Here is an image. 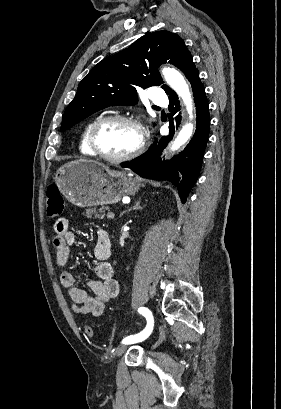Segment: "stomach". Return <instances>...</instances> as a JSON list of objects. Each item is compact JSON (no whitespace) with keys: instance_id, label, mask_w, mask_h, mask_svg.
<instances>
[{"instance_id":"0dacf381","label":"stomach","mask_w":281,"mask_h":409,"mask_svg":"<svg viewBox=\"0 0 281 409\" xmlns=\"http://www.w3.org/2000/svg\"><path fill=\"white\" fill-rule=\"evenodd\" d=\"M54 180L62 194L76 207L113 205L124 194L138 192L141 184L128 170H110L98 160H71L59 166Z\"/></svg>"}]
</instances>
